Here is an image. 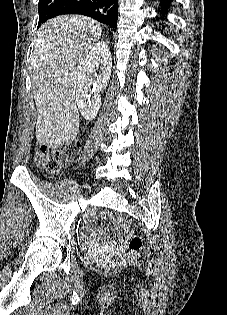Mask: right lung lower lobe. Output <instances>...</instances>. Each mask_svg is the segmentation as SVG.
<instances>
[{
    "label": "right lung lower lobe",
    "mask_w": 227,
    "mask_h": 315,
    "mask_svg": "<svg viewBox=\"0 0 227 315\" xmlns=\"http://www.w3.org/2000/svg\"><path fill=\"white\" fill-rule=\"evenodd\" d=\"M65 14L89 16L116 31L118 0H62L51 9L50 18Z\"/></svg>",
    "instance_id": "obj_1"
}]
</instances>
